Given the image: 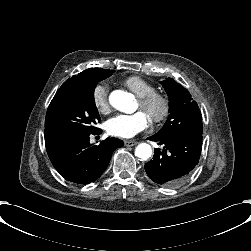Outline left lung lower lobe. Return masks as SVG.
Here are the masks:
<instances>
[{"label": "left lung lower lobe", "instance_id": "0a47b994", "mask_svg": "<svg viewBox=\"0 0 251 251\" xmlns=\"http://www.w3.org/2000/svg\"><path fill=\"white\" fill-rule=\"evenodd\" d=\"M148 139L164 146L162 151L154 149L153 159L145 164L149 178L168 187L185 181L199 162L202 134L183 133L164 139L153 135Z\"/></svg>", "mask_w": 251, "mask_h": 251}]
</instances>
